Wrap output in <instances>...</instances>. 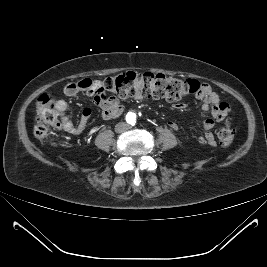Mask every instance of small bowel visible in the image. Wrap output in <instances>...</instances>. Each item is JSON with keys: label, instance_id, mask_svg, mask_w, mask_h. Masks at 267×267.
<instances>
[{"label": "small bowel", "instance_id": "small-bowel-1", "mask_svg": "<svg viewBox=\"0 0 267 267\" xmlns=\"http://www.w3.org/2000/svg\"><path fill=\"white\" fill-rule=\"evenodd\" d=\"M78 82H70L64 87V94L66 96H75L79 92H86L85 89H82L78 86ZM197 98L201 102V108L204 112H211L212 118L205 119L203 122L204 134L198 138L200 144L215 146L216 140L215 136L212 132L215 124L217 122H221L230 112V107L227 103L221 101L219 96L211 89V87L207 84H204V88L202 92L197 94ZM99 107L102 111V118L105 120H112L119 117L123 112V106L117 100L109 99L104 102L98 103ZM185 103H178L176 105L177 109H184ZM56 111L58 112L61 123L60 128L72 135H80L84 132L86 125L91 116V110L89 108H85L83 110L80 121L75 124L68 116L67 110L68 105L64 100H57L55 103ZM170 127L174 131L179 130V126L175 122H170Z\"/></svg>", "mask_w": 267, "mask_h": 267}]
</instances>
